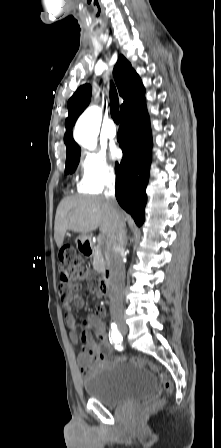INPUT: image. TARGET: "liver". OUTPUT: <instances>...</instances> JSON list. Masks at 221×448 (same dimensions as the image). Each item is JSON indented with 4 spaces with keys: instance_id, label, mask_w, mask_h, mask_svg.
<instances>
[{
    "instance_id": "obj_1",
    "label": "liver",
    "mask_w": 221,
    "mask_h": 448,
    "mask_svg": "<svg viewBox=\"0 0 221 448\" xmlns=\"http://www.w3.org/2000/svg\"><path fill=\"white\" fill-rule=\"evenodd\" d=\"M124 220L126 214L119 210ZM116 225V216L105 197L70 196L62 199L58 205L54 239L60 248L66 231L87 234L100 228L103 236L110 242Z\"/></svg>"
}]
</instances>
